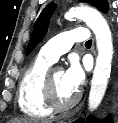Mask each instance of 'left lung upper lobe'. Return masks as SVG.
Returning a JSON list of instances; mask_svg holds the SVG:
<instances>
[{"instance_id":"5c2ea615","label":"left lung upper lobe","mask_w":118,"mask_h":123,"mask_svg":"<svg viewBox=\"0 0 118 123\" xmlns=\"http://www.w3.org/2000/svg\"><path fill=\"white\" fill-rule=\"evenodd\" d=\"M79 1L90 3L93 6L97 7L102 12L107 11L108 4L106 0H79ZM55 9H56V4L54 2H51L41 12L40 16L36 20L34 24L33 33L27 48V52H26L27 54H29L36 47V45H38L39 42L43 39L48 29L50 18L53 12L55 11Z\"/></svg>"}]
</instances>
